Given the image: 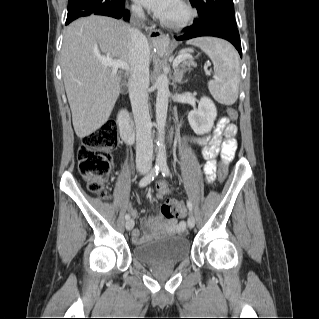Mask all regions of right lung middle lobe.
Returning a JSON list of instances; mask_svg holds the SVG:
<instances>
[{"instance_id":"right-lung-middle-lobe-1","label":"right lung middle lobe","mask_w":319,"mask_h":319,"mask_svg":"<svg viewBox=\"0 0 319 319\" xmlns=\"http://www.w3.org/2000/svg\"><path fill=\"white\" fill-rule=\"evenodd\" d=\"M122 0H69L66 24L98 11L108 10Z\"/></svg>"}]
</instances>
